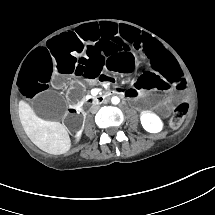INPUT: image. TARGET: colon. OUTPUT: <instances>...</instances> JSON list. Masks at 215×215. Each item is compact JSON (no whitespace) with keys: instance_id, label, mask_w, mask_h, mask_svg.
<instances>
[{"instance_id":"5ec220e1","label":"colon","mask_w":215,"mask_h":215,"mask_svg":"<svg viewBox=\"0 0 215 215\" xmlns=\"http://www.w3.org/2000/svg\"><path fill=\"white\" fill-rule=\"evenodd\" d=\"M188 109L189 105L187 103H181L175 108L171 118V126L173 128H177L182 124L183 119L188 112Z\"/></svg>"}]
</instances>
